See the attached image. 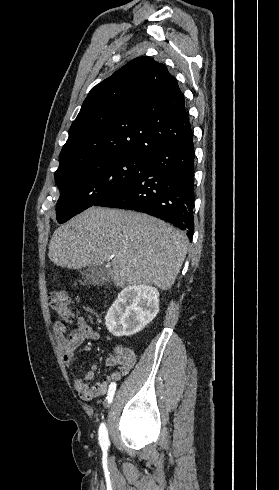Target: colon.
<instances>
[{
  "mask_svg": "<svg viewBox=\"0 0 279 490\" xmlns=\"http://www.w3.org/2000/svg\"><path fill=\"white\" fill-rule=\"evenodd\" d=\"M48 301L57 316L66 321L74 320L73 308L70 304L68 293L64 290H55L49 294Z\"/></svg>",
  "mask_w": 279,
  "mask_h": 490,
  "instance_id": "5ec220e1",
  "label": "colon"
}]
</instances>
